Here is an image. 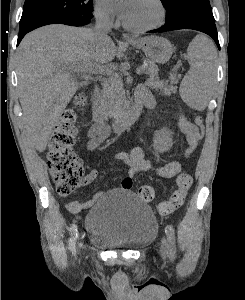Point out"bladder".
Returning <instances> with one entry per match:
<instances>
[{"label":"bladder","mask_w":245,"mask_h":300,"mask_svg":"<svg viewBox=\"0 0 245 300\" xmlns=\"http://www.w3.org/2000/svg\"><path fill=\"white\" fill-rule=\"evenodd\" d=\"M88 240L101 248L138 249L150 244L158 232L151 209L126 189L103 193L85 219Z\"/></svg>","instance_id":"1"}]
</instances>
